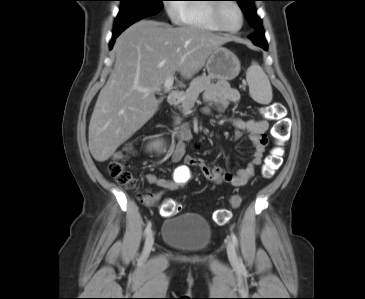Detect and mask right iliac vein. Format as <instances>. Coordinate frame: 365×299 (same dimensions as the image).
Masks as SVG:
<instances>
[{"mask_svg":"<svg viewBox=\"0 0 365 299\" xmlns=\"http://www.w3.org/2000/svg\"><path fill=\"white\" fill-rule=\"evenodd\" d=\"M153 244H154V233L152 231H150L145 240L143 253H142L143 259H146L150 255Z\"/></svg>","mask_w":365,"mask_h":299,"instance_id":"obj_1","label":"right iliac vein"}]
</instances>
